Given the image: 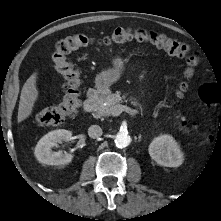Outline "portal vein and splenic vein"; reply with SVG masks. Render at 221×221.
<instances>
[{"label":"portal vein and splenic vein","mask_w":221,"mask_h":221,"mask_svg":"<svg viewBox=\"0 0 221 221\" xmlns=\"http://www.w3.org/2000/svg\"><path fill=\"white\" fill-rule=\"evenodd\" d=\"M123 111L129 113L130 115H135V110L131 109L130 107L124 106V105H116L112 111L113 116L120 115Z\"/></svg>","instance_id":"18ae733b"}]
</instances>
